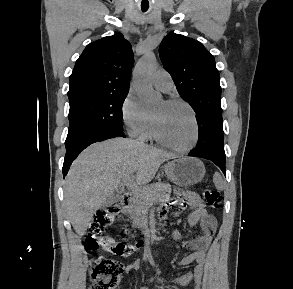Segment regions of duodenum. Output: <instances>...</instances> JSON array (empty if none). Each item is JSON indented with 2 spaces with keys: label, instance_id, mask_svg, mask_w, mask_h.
Returning a JSON list of instances; mask_svg holds the SVG:
<instances>
[{
  "label": "duodenum",
  "instance_id": "410a0bca",
  "mask_svg": "<svg viewBox=\"0 0 293 289\" xmlns=\"http://www.w3.org/2000/svg\"><path fill=\"white\" fill-rule=\"evenodd\" d=\"M119 205H120V207H121V209L123 211L127 210L129 205H130V196L128 194H124L122 196V199H121ZM145 237L148 240H153L154 239V235L149 231L146 232Z\"/></svg>",
  "mask_w": 293,
  "mask_h": 289
}]
</instances>
